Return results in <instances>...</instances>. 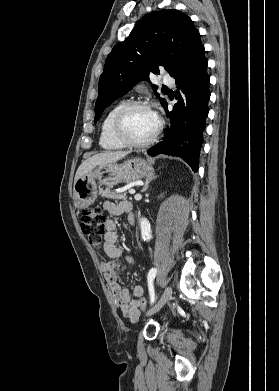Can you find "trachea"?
Wrapping results in <instances>:
<instances>
[{
    "mask_svg": "<svg viewBox=\"0 0 279 391\" xmlns=\"http://www.w3.org/2000/svg\"><path fill=\"white\" fill-rule=\"evenodd\" d=\"M163 89H168L167 87H164Z\"/></svg>",
    "mask_w": 279,
    "mask_h": 391,
    "instance_id": "obj_1",
    "label": "trachea"
}]
</instances>
